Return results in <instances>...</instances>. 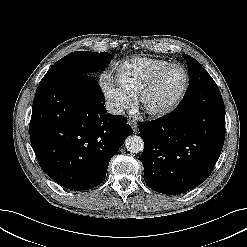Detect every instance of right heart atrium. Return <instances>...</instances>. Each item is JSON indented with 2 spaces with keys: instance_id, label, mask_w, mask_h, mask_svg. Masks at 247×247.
Masks as SVG:
<instances>
[{
  "instance_id": "d8ad5b80",
  "label": "right heart atrium",
  "mask_w": 247,
  "mask_h": 247,
  "mask_svg": "<svg viewBox=\"0 0 247 247\" xmlns=\"http://www.w3.org/2000/svg\"><path fill=\"white\" fill-rule=\"evenodd\" d=\"M99 86L114 112L120 113L131 105L130 97L110 77L102 76Z\"/></svg>"
}]
</instances>
